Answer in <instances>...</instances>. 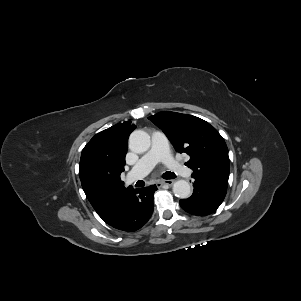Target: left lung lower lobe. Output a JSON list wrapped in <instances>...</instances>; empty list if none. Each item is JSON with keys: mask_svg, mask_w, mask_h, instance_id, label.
<instances>
[{"mask_svg": "<svg viewBox=\"0 0 301 301\" xmlns=\"http://www.w3.org/2000/svg\"><path fill=\"white\" fill-rule=\"evenodd\" d=\"M193 178V194L188 199L180 200V206L193 215H209L220 206L226 195L227 188L200 177Z\"/></svg>", "mask_w": 301, "mask_h": 301, "instance_id": "0a47b994", "label": "left lung lower lobe"}]
</instances>
